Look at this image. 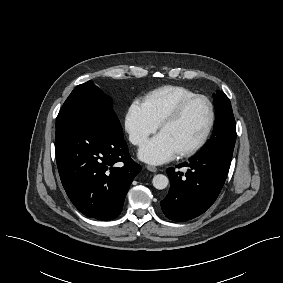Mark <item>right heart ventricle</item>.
<instances>
[{
    "mask_svg": "<svg viewBox=\"0 0 283 283\" xmlns=\"http://www.w3.org/2000/svg\"><path fill=\"white\" fill-rule=\"evenodd\" d=\"M195 93L183 86L168 85L148 93L143 104L149 116L159 125L185 98Z\"/></svg>",
    "mask_w": 283,
    "mask_h": 283,
    "instance_id": "obj_1",
    "label": "right heart ventricle"
}]
</instances>
